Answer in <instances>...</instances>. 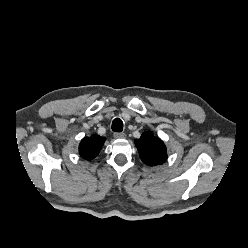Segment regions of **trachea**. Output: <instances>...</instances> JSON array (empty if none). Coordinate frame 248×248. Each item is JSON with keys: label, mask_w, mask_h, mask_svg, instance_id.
I'll return each instance as SVG.
<instances>
[{"label": "trachea", "mask_w": 248, "mask_h": 248, "mask_svg": "<svg viewBox=\"0 0 248 248\" xmlns=\"http://www.w3.org/2000/svg\"><path fill=\"white\" fill-rule=\"evenodd\" d=\"M112 130L114 132H122L123 130V122L120 118H115L112 122Z\"/></svg>", "instance_id": "obj_1"}]
</instances>
